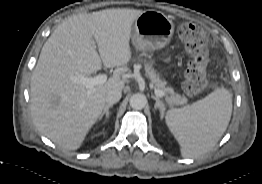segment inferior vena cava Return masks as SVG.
Returning <instances> with one entry per match:
<instances>
[{
    "instance_id": "inferior-vena-cava-1",
    "label": "inferior vena cava",
    "mask_w": 262,
    "mask_h": 184,
    "mask_svg": "<svg viewBox=\"0 0 262 184\" xmlns=\"http://www.w3.org/2000/svg\"><path fill=\"white\" fill-rule=\"evenodd\" d=\"M122 96V91L119 89H112L106 94V103L115 104L117 103Z\"/></svg>"
}]
</instances>
